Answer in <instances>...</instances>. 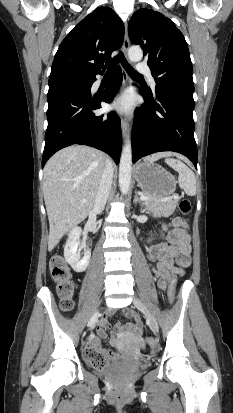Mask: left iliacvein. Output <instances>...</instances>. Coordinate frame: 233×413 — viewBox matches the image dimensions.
<instances>
[{
  "instance_id": "obj_1",
  "label": "left iliac vein",
  "mask_w": 233,
  "mask_h": 413,
  "mask_svg": "<svg viewBox=\"0 0 233 413\" xmlns=\"http://www.w3.org/2000/svg\"><path fill=\"white\" fill-rule=\"evenodd\" d=\"M133 304L138 310H140L145 315L150 328L155 334H157L159 331V326L153 314L148 310L144 303L136 296L133 298Z\"/></svg>"
}]
</instances>
